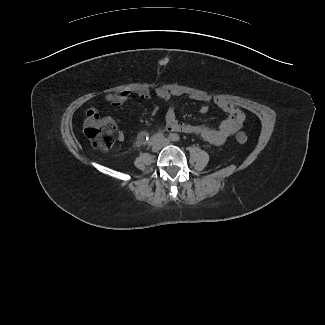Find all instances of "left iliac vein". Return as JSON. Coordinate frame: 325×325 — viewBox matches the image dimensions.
I'll use <instances>...</instances> for the list:
<instances>
[{
  "label": "left iliac vein",
  "mask_w": 325,
  "mask_h": 325,
  "mask_svg": "<svg viewBox=\"0 0 325 325\" xmlns=\"http://www.w3.org/2000/svg\"><path fill=\"white\" fill-rule=\"evenodd\" d=\"M162 143H163V145H168L169 144V141L167 139H163L162 140Z\"/></svg>",
  "instance_id": "left-iliac-vein-1"
}]
</instances>
